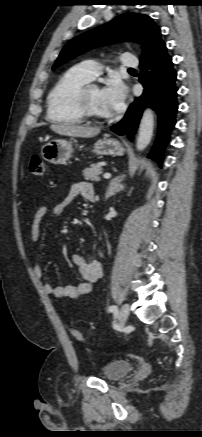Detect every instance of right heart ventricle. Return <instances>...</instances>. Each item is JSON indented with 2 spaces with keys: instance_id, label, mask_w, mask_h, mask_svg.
Masks as SVG:
<instances>
[{
  "instance_id": "right-heart-ventricle-1",
  "label": "right heart ventricle",
  "mask_w": 202,
  "mask_h": 437,
  "mask_svg": "<svg viewBox=\"0 0 202 437\" xmlns=\"http://www.w3.org/2000/svg\"><path fill=\"white\" fill-rule=\"evenodd\" d=\"M90 79L74 67L66 71L47 96V118L53 123L80 124L83 117L78 111L76 96Z\"/></svg>"
}]
</instances>
